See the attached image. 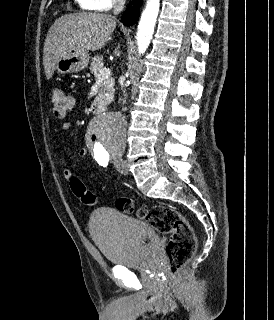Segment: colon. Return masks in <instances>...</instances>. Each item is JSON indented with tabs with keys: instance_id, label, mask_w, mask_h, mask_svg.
<instances>
[{
	"instance_id": "1",
	"label": "colon",
	"mask_w": 274,
	"mask_h": 320,
	"mask_svg": "<svg viewBox=\"0 0 274 320\" xmlns=\"http://www.w3.org/2000/svg\"><path fill=\"white\" fill-rule=\"evenodd\" d=\"M49 102L55 118L63 119L72 109L74 101L63 88L53 87L49 90ZM70 187L73 194L86 204H93L95 198L86 189L81 179L70 176ZM116 209L122 213L133 214L135 207L129 198H119L115 201ZM140 215L159 233L169 234L170 241L167 247L168 266L172 273H178L195 254L197 239L193 227L180 213L169 205L157 203L150 208H144Z\"/></svg>"
}]
</instances>
